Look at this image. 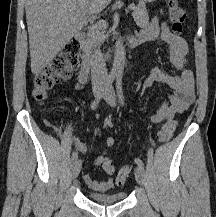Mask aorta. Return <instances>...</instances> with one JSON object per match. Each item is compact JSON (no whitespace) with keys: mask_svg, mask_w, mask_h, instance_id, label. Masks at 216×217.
<instances>
[{"mask_svg":"<svg viewBox=\"0 0 216 217\" xmlns=\"http://www.w3.org/2000/svg\"><path fill=\"white\" fill-rule=\"evenodd\" d=\"M126 53L121 39H118L115 43L114 63L111 70V74L117 77L123 75L125 67Z\"/></svg>","mask_w":216,"mask_h":217,"instance_id":"1","label":"aorta"}]
</instances>
